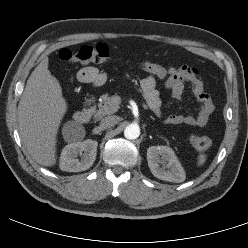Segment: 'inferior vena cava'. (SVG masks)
Wrapping results in <instances>:
<instances>
[{"label": "inferior vena cava", "mask_w": 248, "mask_h": 248, "mask_svg": "<svg viewBox=\"0 0 248 248\" xmlns=\"http://www.w3.org/2000/svg\"><path fill=\"white\" fill-rule=\"evenodd\" d=\"M117 123H118L117 116H107L101 120L100 127L103 129H107L114 126Z\"/></svg>", "instance_id": "602c4592"}]
</instances>
